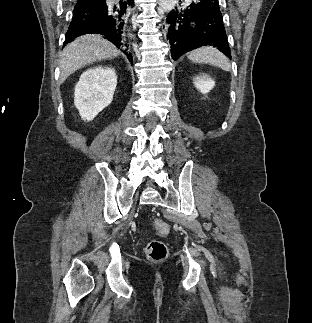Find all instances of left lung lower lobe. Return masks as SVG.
<instances>
[{"instance_id": "0a47b994", "label": "left lung lower lobe", "mask_w": 312, "mask_h": 323, "mask_svg": "<svg viewBox=\"0 0 312 323\" xmlns=\"http://www.w3.org/2000/svg\"><path fill=\"white\" fill-rule=\"evenodd\" d=\"M166 22L174 60L207 45L216 46L231 57L219 0H193L185 9L171 11Z\"/></svg>"}]
</instances>
